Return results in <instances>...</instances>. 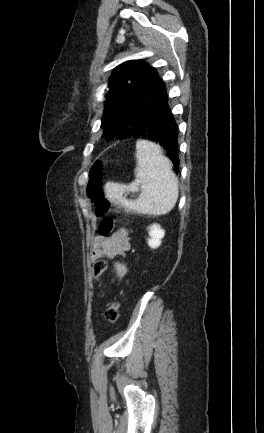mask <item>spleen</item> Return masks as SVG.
I'll return each instance as SVG.
<instances>
[{"mask_svg": "<svg viewBox=\"0 0 264 433\" xmlns=\"http://www.w3.org/2000/svg\"><path fill=\"white\" fill-rule=\"evenodd\" d=\"M136 179L130 184L107 182V198L124 208L146 215H164L170 212L178 199V180L171 161L163 155L159 145L148 140L136 142ZM141 193L135 200L124 197L126 192Z\"/></svg>", "mask_w": 264, "mask_h": 433, "instance_id": "1", "label": "spleen"}]
</instances>
